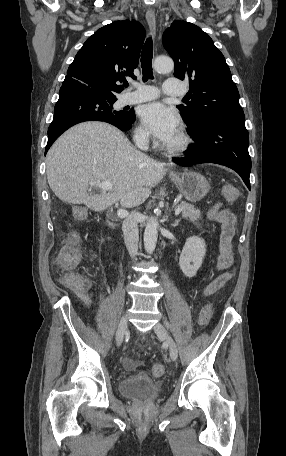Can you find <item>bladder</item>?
Returning a JSON list of instances; mask_svg holds the SVG:
<instances>
[{"label": "bladder", "mask_w": 286, "mask_h": 456, "mask_svg": "<svg viewBox=\"0 0 286 456\" xmlns=\"http://www.w3.org/2000/svg\"><path fill=\"white\" fill-rule=\"evenodd\" d=\"M161 383L153 381L146 375H131L119 383V392L139 402H151L162 392Z\"/></svg>", "instance_id": "1"}]
</instances>
